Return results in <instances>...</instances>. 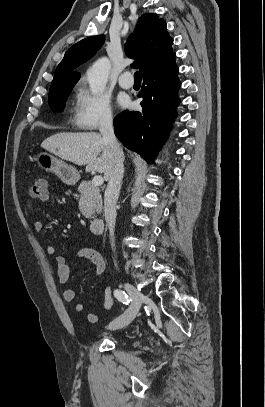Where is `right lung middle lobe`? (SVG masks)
<instances>
[{
  "label": "right lung middle lobe",
  "mask_w": 265,
  "mask_h": 407,
  "mask_svg": "<svg viewBox=\"0 0 265 407\" xmlns=\"http://www.w3.org/2000/svg\"><path fill=\"white\" fill-rule=\"evenodd\" d=\"M76 83L63 82L50 87L48 102L53 111L64 109L67 97Z\"/></svg>",
  "instance_id": "obj_1"
}]
</instances>
